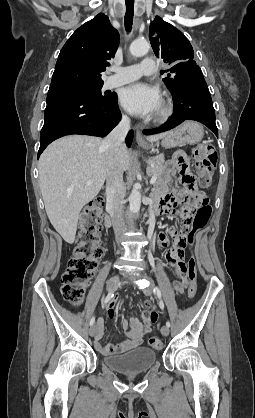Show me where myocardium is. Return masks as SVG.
<instances>
[{
  "mask_svg": "<svg viewBox=\"0 0 255 418\" xmlns=\"http://www.w3.org/2000/svg\"><path fill=\"white\" fill-rule=\"evenodd\" d=\"M173 113V106L170 102H166L163 104L162 108L160 109L157 120L162 122L167 120Z\"/></svg>",
  "mask_w": 255,
  "mask_h": 418,
  "instance_id": "1",
  "label": "myocardium"
}]
</instances>
